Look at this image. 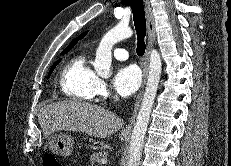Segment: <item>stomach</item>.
I'll list each match as a JSON object with an SVG mask.
<instances>
[{
	"label": "stomach",
	"mask_w": 231,
	"mask_h": 166,
	"mask_svg": "<svg viewBox=\"0 0 231 166\" xmlns=\"http://www.w3.org/2000/svg\"><path fill=\"white\" fill-rule=\"evenodd\" d=\"M122 141L126 140V137L121 136ZM74 139L70 135L53 134L49 138V149L56 155L67 157L71 155L73 151Z\"/></svg>",
	"instance_id": "obj_1"
}]
</instances>
